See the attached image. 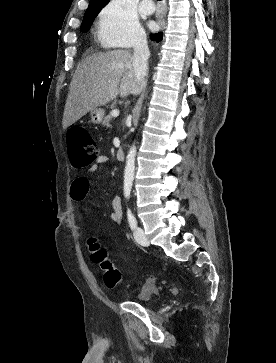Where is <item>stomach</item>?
Masks as SVG:
<instances>
[{"label":"stomach","mask_w":276,"mask_h":363,"mask_svg":"<svg viewBox=\"0 0 276 363\" xmlns=\"http://www.w3.org/2000/svg\"><path fill=\"white\" fill-rule=\"evenodd\" d=\"M105 111L102 108H95L90 111L91 122L100 124L103 121Z\"/></svg>","instance_id":"stomach-1"}]
</instances>
